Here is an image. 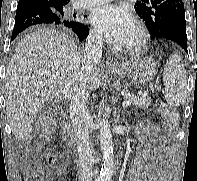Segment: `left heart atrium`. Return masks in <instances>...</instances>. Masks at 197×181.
Wrapping results in <instances>:
<instances>
[{
    "mask_svg": "<svg viewBox=\"0 0 197 181\" xmlns=\"http://www.w3.org/2000/svg\"><path fill=\"white\" fill-rule=\"evenodd\" d=\"M94 27L109 40L121 42L134 28L130 11L121 6L109 4L96 8L90 17Z\"/></svg>",
    "mask_w": 197,
    "mask_h": 181,
    "instance_id": "left-heart-atrium-1",
    "label": "left heart atrium"
}]
</instances>
